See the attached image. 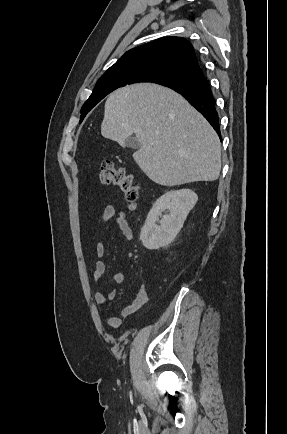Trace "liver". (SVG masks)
Here are the masks:
<instances>
[{
    "label": "liver",
    "instance_id": "1",
    "mask_svg": "<svg viewBox=\"0 0 287 434\" xmlns=\"http://www.w3.org/2000/svg\"><path fill=\"white\" fill-rule=\"evenodd\" d=\"M133 133L141 144L133 158L153 182L176 186L218 179L219 137L175 91L136 84L111 93L105 103L102 136L123 146Z\"/></svg>",
    "mask_w": 287,
    "mask_h": 434
}]
</instances>
